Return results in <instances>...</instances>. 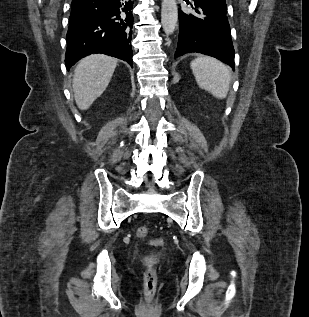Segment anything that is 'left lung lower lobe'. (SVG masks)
Listing matches in <instances>:
<instances>
[{
    "mask_svg": "<svg viewBox=\"0 0 309 317\" xmlns=\"http://www.w3.org/2000/svg\"><path fill=\"white\" fill-rule=\"evenodd\" d=\"M194 13L178 12L179 40L175 57L202 53L215 57L234 69V47L227 7L195 2Z\"/></svg>",
    "mask_w": 309,
    "mask_h": 317,
    "instance_id": "left-lung-lower-lobe-1",
    "label": "left lung lower lobe"
}]
</instances>
